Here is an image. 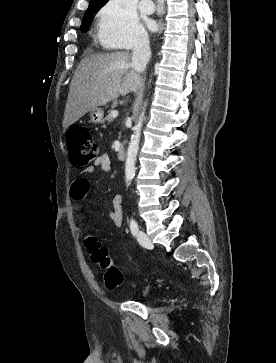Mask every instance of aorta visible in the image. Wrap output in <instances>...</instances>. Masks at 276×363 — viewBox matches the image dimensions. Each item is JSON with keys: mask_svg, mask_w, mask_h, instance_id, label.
<instances>
[{"mask_svg": "<svg viewBox=\"0 0 276 363\" xmlns=\"http://www.w3.org/2000/svg\"><path fill=\"white\" fill-rule=\"evenodd\" d=\"M147 106V103H144L143 110L139 116L138 123L135 126V131L132 136V139L130 141L128 151H127V158H126V164H125V180L126 184L130 185L134 175H135V162L137 153L139 150V142H140V135H141V128L143 119L145 117V108Z\"/></svg>", "mask_w": 276, "mask_h": 363, "instance_id": "obj_1", "label": "aorta"}]
</instances>
